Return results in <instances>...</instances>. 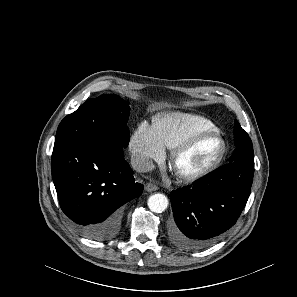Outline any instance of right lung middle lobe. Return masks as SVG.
<instances>
[{
	"mask_svg": "<svg viewBox=\"0 0 297 297\" xmlns=\"http://www.w3.org/2000/svg\"><path fill=\"white\" fill-rule=\"evenodd\" d=\"M128 103L114 94L89 99L60 123L56 142L87 137H102L126 147L129 143Z\"/></svg>",
	"mask_w": 297,
	"mask_h": 297,
	"instance_id": "right-lung-middle-lobe-1",
	"label": "right lung middle lobe"
}]
</instances>
